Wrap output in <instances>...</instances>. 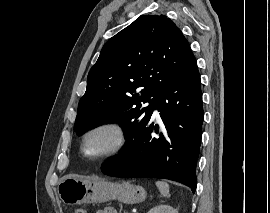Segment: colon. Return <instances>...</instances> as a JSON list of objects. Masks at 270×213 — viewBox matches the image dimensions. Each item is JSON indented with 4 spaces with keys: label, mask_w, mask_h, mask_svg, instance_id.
Returning <instances> with one entry per match:
<instances>
[{
    "label": "colon",
    "mask_w": 270,
    "mask_h": 213,
    "mask_svg": "<svg viewBox=\"0 0 270 213\" xmlns=\"http://www.w3.org/2000/svg\"><path fill=\"white\" fill-rule=\"evenodd\" d=\"M74 213H87V211L85 209H83V208H78V209L75 210Z\"/></svg>",
    "instance_id": "colon-1"
}]
</instances>
